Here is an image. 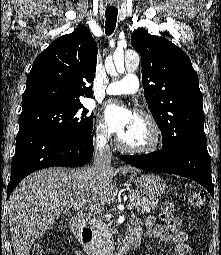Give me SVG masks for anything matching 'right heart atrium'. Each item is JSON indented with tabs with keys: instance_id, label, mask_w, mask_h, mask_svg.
Instances as JSON below:
<instances>
[{
	"instance_id": "1",
	"label": "right heart atrium",
	"mask_w": 221,
	"mask_h": 255,
	"mask_svg": "<svg viewBox=\"0 0 221 255\" xmlns=\"http://www.w3.org/2000/svg\"><path fill=\"white\" fill-rule=\"evenodd\" d=\"M108 139L109 136L106 127L98 122L95 129V144L98 147H105L108 143Z\"/></svg>"
}]
</instances>
